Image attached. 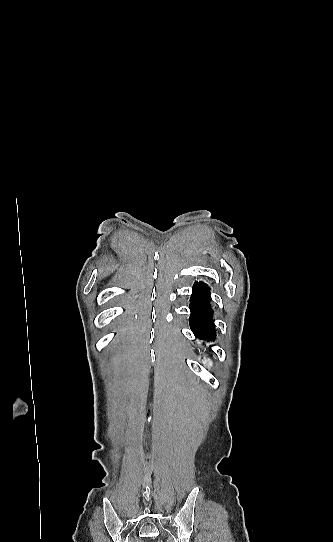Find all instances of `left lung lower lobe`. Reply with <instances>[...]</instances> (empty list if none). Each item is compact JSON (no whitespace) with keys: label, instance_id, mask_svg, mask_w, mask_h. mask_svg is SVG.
Here are the masks:
<instances>
[{"label":"left lung lower lobe","instance_id":"obj_1","mask_svg":"<svg viewBox=\"0 0 333 542\" xmlns=\"http://www.w3.org/2000/svg\"><path fill=\"white\" fill-rule=\"evenodd\" d=\"M209 296V287L206 284L196 282L190 299L191 316L189 322L196 337L214 341L216 333L214 323L211 320L213 312L210 310Z\"/></svg>","mask_w":333,"mask_h":542}]
</instances>
